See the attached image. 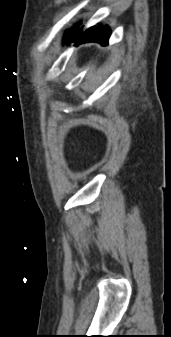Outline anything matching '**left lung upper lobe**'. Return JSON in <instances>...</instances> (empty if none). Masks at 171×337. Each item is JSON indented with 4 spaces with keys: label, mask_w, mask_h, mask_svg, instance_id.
Here are the masks:
<instances>
[{
    "label": "left lung upper lobe",
    "mask_w": 171,
    "mask_h": 337,
    "mask_svg": "<svg viewBox=\"0 0 171 337\" xmlns=\"http://www.w3.org/2000/svg\"><path fill=\"white\" fill-rule=\"evenodd\" d=\"M72 32V30L71 31H69L68 33H67V36L70 34Z\"/></svg>",
    "instance_id": "1"
}]
</instances>
